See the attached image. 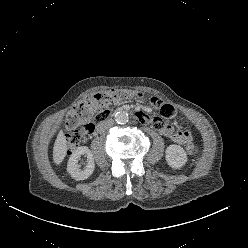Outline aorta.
<instances>
[{
  "instance_id": "762f6f07",
  "label": "aorta",
  "mask_w": 248,
  "mask_h": 248,
  "mask_svg": "<svg viewBox=\"0 0 248 248\" xmlns=\"http://www.w3.org/2000/svg\"><path fill=\"white\" fill-rule=\"evenodd\" d=\"M129 120V117H128V114L124 111H121V112H117L115 114V121L118 123V124H125L127 123Z\"/></svg>"
}]
</instances>
